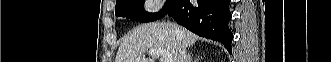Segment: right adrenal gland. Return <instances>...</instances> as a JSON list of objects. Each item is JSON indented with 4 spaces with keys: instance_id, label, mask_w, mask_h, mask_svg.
<instances>
[{
    "instance_id": "1",
    "label": "right adrenal gland",
    "mask_w": 331,
    "mask_h": 62,
    "mask_svg": "<svg viewBox=\"0 0 331 62\" xmlns=\"http://www.w3.org/2000/svg\"><path fill=\"white\" fill-rule=\"evenodd\" d=\"M201 58H202V57H198V58H196V60H195L194 62H198ZM186 62H193V61H192V56H191V54H188V56H187V61H186Z\"/></svg>"
}]
</instances>
